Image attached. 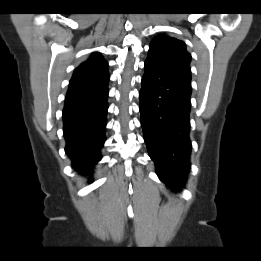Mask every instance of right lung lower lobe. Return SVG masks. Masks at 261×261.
<instances>
[{
  "label": "right lung lower lobe",
  "instance_id": "obj_1",
  "mask_svg": "<svg viewBox=\"0 0 261 261\" xmlns=\"http://www.w3.org/2000/svg\"><path fill=\"white\" fill-rule=\"evenodd\" d=\"M107 97V84L66 95L63 109L65 151L82 175L92 173L95 163L101 159L100 149L106 140Z\"/></svg>",
  "mask_w": 261,
  "mask_h": 261
}]
</instances>
